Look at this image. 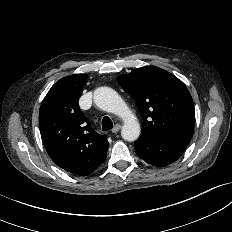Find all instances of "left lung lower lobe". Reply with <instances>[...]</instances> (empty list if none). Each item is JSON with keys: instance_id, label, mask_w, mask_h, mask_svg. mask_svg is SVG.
I'll use <instances>...</instances> for the list:
<instances>
[{"instance_id": "1", "label": "left lung lower lobe", "mask_w": 232, "mask_h": 232, "mask_svg": "<svg viewBox=\"0 0 232 232\" xmlns=\"http://www.w3.org/2000/svg\"><path fill=\"white\" fill-rule=\"evenodd\" d=\"M191 138L186 136L140 135L134 142L136 154L148 163L158 167L175 162L184 152Z\"/></svg>"}]
</instances>
